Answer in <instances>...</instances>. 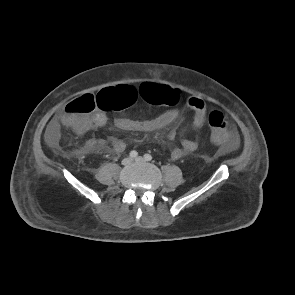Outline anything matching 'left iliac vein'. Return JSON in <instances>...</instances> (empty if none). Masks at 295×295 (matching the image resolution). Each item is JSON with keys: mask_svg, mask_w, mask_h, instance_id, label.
Listing matches in <instances>:
<instances>
[{"mask_svg": "<svg viewBox=\"0 0 295 295\" xmlns=\"http://www.w3.org/2000/svg\"><path fill=\"white\" fill-rule=\"evenodd\" d=\"M135 161H136V162H143V161H145V159L142 158V157H137V158L135 159Z\"/></svg>", "mask_w": 295, "mask_h": 295, "instance_id": "left-iliac-vein-1", "label": "left iliac vein"}]
</instances>
